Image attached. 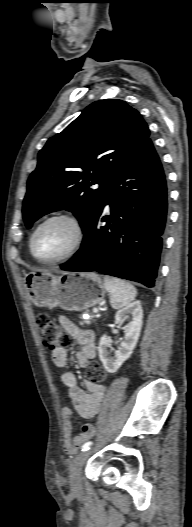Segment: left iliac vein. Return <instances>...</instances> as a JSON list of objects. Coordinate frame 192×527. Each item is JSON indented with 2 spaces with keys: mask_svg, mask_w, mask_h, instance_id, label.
<instances>
[{
  "mask_svg": "<svg viewBox=\"0 0 192 527\" xmlns=\"http://www.w3.org/2000/svg\"><path fill=\"white\" fill-rule=\"evenodd\" d=\"M90 454V450L81 452L76 456L73 463L71 464L69 483L71 490L75 493L82 490V468Z\"/></svg>",
  "mask_w": 192,
  "mask_h": 527,
  "instance_id": "obj_1",
  "label": "left iliac vein"
}]
</instances>
